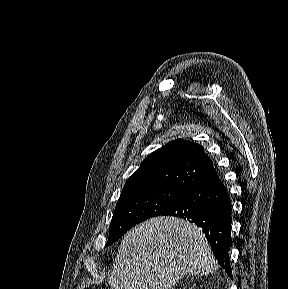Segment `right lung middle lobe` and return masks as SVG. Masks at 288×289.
<instances>
[{
  "label": "right lung middle lobe",
  "instance_id": "1",
  "mask_svg": "<svg viewBox=\"0 0 288 289\" xmlns=\"http://www.w3.org/2000/svg\"><path fill=\"white\" fill-rule=\"evenodd\" d=\"M186 190L155 187L122 192L112 217L106 246L115 243L134 225L159 216L178 202Z\"/></svg>",
  "mask_w": 288,
  "mask_h": 289
}]
</instances>
